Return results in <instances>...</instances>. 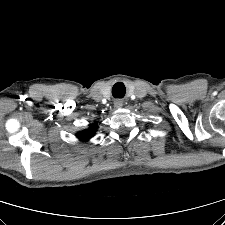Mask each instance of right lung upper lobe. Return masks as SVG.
<instances>
[{"label": "right lung upper lobe", "instance_id": "obj_1", "mask_svg": "<svg viewBox=\"0 0 225 225\" xmlns=\"http://www.w3.org/2000/svg\"><path fill=\"white\" fill-rule=\"evenodd\" d=\"M94 130H95V127H92L91 130H86V131L78 133L77 137L80 140L87 141L94 135Z\"/></svg>", "mask_w": 225, "mask_h": 225}]
</instances>
